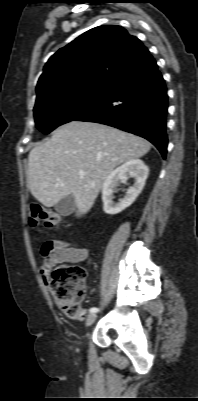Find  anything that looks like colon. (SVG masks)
<instances>
[{"label":"colon","mask_w":198,"mask_h":401,"mask_svg":"<svg viewBox=\"0 0 198 401\" xmlns=\"http://www.w3.org/2000/svg\"><path fill=\"white\" fill-rule=\"evenodd\" d=\"M62 222L63 216L60 213L45 209L38 203L30 205L29 225L32 228L43 225L54 229L60 227ZM85 279L84 267L71 264L57 267L49 280L54 299L72 320H82L85 317V310L81 306L85 298Z\"/></svg>","instance_id":"obj_1"}]
</instances>
